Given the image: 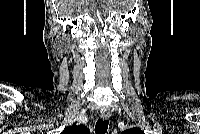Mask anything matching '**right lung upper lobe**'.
Returning a JSON list of instances; mask_svg holds the SVG:
<instances>
[{"label":"right lung upper lobe","mask_w":200,"mask_h":134,"mask_svg":"<svg viewBox=\"0 0 200 134\" xmlns=\"http://www.w3.org/2000/svg\"><path fill=\"white\" fill-rule=\"evenodd\" d=\"M88 133L89 131L85 126L79 125L67 128L65 132H63L62 134H88Z\"/></svg>","instance_id":"cb5924a9"}]
</instances>
